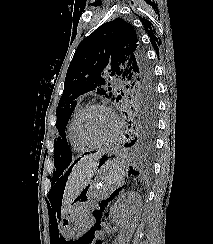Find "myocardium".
<instances>
[{"label": "myocardium", "instance_id": "f54148a6", "mask_svg": "<svg viewBox=\"0 0 213 244\" xmlns=\"http://www.w3.org/2000/svg\"><path fill=\"white\" fill-rule=\"evenodd\" d=\"M96 109L106 111L107 113L110 114V116L114 120L115 132H114L113 136L110 139H108L107 141H103V142L90 141L83 132V123H84L86 116L88 115L89 112H91L92 110H96ZM75 131H76L78 139L83 144L88 146L89 148H105V147L111 146L113 143H115L117 141V139L120 135V132H121V122H120L119 118L117 117V115L115 114V112L109 106H107L105 104H101V103H93V104L86 106L83 109V111L81 112V114L78 117V120L76 122Z\"/></svg>", "mask_w": 213, "mask_h": 244}]
</instances>
